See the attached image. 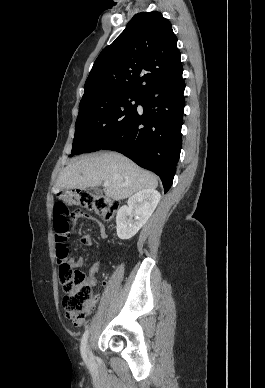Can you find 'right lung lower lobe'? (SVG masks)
Listing matches in <instances>:
<instances>
[{
  "label": "right lung lower lobe",
  "mask_w": 265,
  "mask_h": 388,
  "mask_svg": "<svg viewBox=\"0 0 265 388\" xmlns=\"http://www.w3.org/2000/svg\"><path fill=\"white\" fill-rule=\"evenodd\" d=\"M185 83L177 78L141 94L137 109L101 147L118 151L156 173L165 193L170 189L181 150Z\"/></svg>",
  "instance_id": "98d812e1"
}]
</instances>
